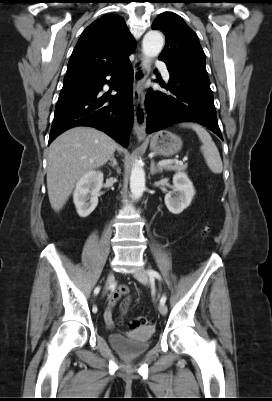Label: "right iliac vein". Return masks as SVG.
Here are the masks:
<instances>
[{
    "label": "right iliac vein",
    "instance_id": "63e3f726",
    "mask_svg": "<svg viewBox=\"0 0 272 401\" xmlns=\"http://www.w3.org/2000/svg\"><path fill=\"white\" fill-rule=\"evenodd\" d=\"M112 279H113V274H112V272H110V273L108 274V276H107L106 285H105L104 290H103V294H104V295L107 294Z\"/></svg>",
    "mask_w": 272,
    "mask_h": 401
}]
</instances>
